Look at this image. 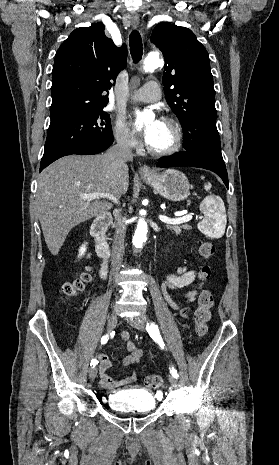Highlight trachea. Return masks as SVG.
Here are the masks:
<instances>
[{
	"mask_svg": "<svg viewBox=\"0 0 279 465\" xmlns=\"http://www.w3.org/2000/svg\"><path fill=\"white\" fill-rule=\"evenodd\" d=\"M129 46H130V53L134 62H139L142 58L143 54V47H142V39L137 30H133L129 37Z\"/></svg>",
	"mask_w": 279,
	"mask_h": 465,
	"instance_id": "1",
	"label": "trachea"
}]
</instances>
